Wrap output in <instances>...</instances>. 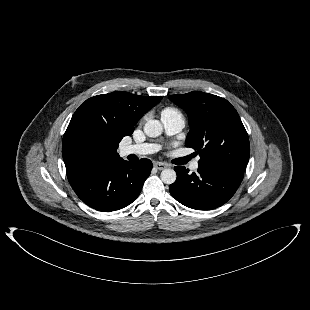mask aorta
Returning a JSON list of instances; mask_svg holds the SVG:
<instances>
[{"label": "aorta", "instance_id": "762f6f07", "mask_svg": "<svg viewBox=\"0 0 310 310\" xmlns=\"http://www.w3.org/2000/svg\"><path fill=\"white\" fill-rule=\"evenodd\" d=\"M163 132V126L158 120H149L144 125V133L148 137H158ZM177 175L176 172L173 169H164L161 172V180L165 184H173L176 181Z\"/></svg>", "mask_w": 310, "mask_h": 310}]
</instances>
